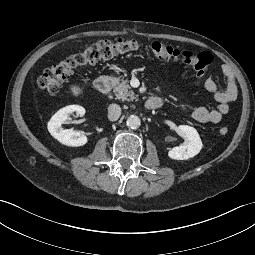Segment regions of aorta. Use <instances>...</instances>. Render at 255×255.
<instances>
[{
  "mask_svg": "<svg viewBox=\"0 0 255 255\" xmlns=\"http://www.w3.org/2000/svg\"><path fill=\"white\" fill-rule=\"evenodd\" d=\"M141 125V120L138 116L136 115H131L127 119V126L130 127L131 129H137Z\"/></svg>",
  "mask_w": 255,
  "mask_h": 255,
  "instance_id": "762f6f07",
  "label": "aorta"
}]
</instances>
